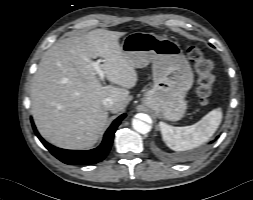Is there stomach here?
Here are the masks:
<instances>
[{"label":"stomach","instance_id":"0dacf381","mask_svg":"<svg viewBox=\"0 0 253 200\" xmlns=\"http://www.w3.org/2000/svg\"><path fill=\"white\" fill-rule=\"evenodd\" d=\"M121 49L134 68L152 62L154 85L145 93L143 104L156 117L181 119L187 109L185 96L193 85V72L180 47L153 33L134 32L123 39Z\"/></svg>","mask_w":253,"mask_h":200}]
</instances>
